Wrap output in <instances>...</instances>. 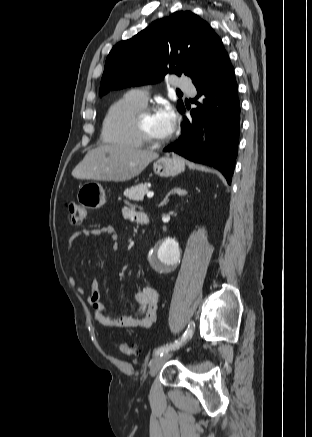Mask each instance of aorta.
<instances>
[{
  "instance_id": "762f6f07",
  "label": "aorta",
  "mask_w": 312,
  "mask_h": 437,
  "mask_svg": "<svg viewBox=\"0 0 312 437\" xmlns=\"http://www.w3.org/2000/svg\"><path fill=\"white\" fill-rule=\"evenodd\" d=\"M180 250L178 243L173 239L164 240L155 251V267L158 270L164 269L167 265L179 259Z\"/></svg>"
}]
</instances>
